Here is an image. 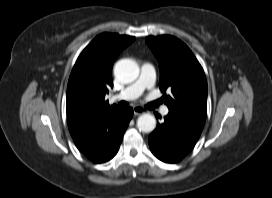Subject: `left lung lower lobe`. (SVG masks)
<instances>
[{"instance_id": "obj_1", "label": "left lung lower lobe", "mask_w": 272, "mask_h": 198, "mask_svg": "<svg viewBox=\"0 0 272 198\" xmlns=\"http://www.w3.org/2000/svg\"><path fill=\"white\" fill-rule=\"evenodd\" d=\"M205 119L169 110L162 124L149 136V146L159 160L176 163L185 157L195 146Z\"/></svg>"}]
</instances>
